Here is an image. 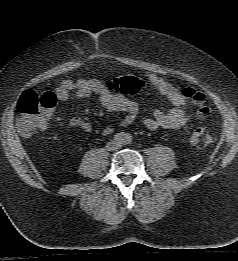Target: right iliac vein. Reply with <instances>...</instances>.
Wrapping results in <instances>:
<instances>
[{"label": "right iliac vein", "instance_id": "1", "mask_svg": "<svg viewBox=\"0 0 238 261\" xmlns=\"http://www.w3.org/2000/svg\"><path fill=\"white\" fill-rule=\"evenodd\" d=\"M109 147H110L111 149H112V148H114V144H110V146H109Z\"/></svg>", "mask_w": 238, "mask_h": 261}]
</instances>
